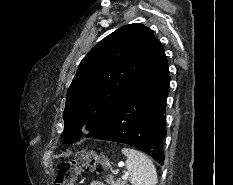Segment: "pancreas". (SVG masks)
<instances>
[{"label":"pancreas","mask_w":233,"mask_h":185,"mask_svg":"<svg viewBox=\"0 0 233 185\" xmlns=\"http://www.w3.org/2000/svg\"><path fill=\"white\" fill-rule=\"evenodd\" d=\"M105 181L109 184V185H128L127 182L121 181V180H114L113 176H110L109 178H106Z\"/></svg>","instance_id":"pancreas-1"}]
</instances>
